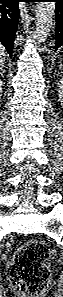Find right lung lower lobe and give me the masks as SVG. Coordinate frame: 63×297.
<instances>
[{
  "label": "right lung lower lobe",
  "instance_id": "98d812e1",
  "mask_svg": "<svg viewBox=\"0 0 63 297\" xmlns=\"http://www.w3.org/2000/svg\"><path fill=\"white\" fill-rule=\"evenodd\" d=\"M20 0H0V42L12 57V49L19 19Z\"/></svg>",
  "mask_w": 63,
  "mask_h": 297
}]
</instances>
